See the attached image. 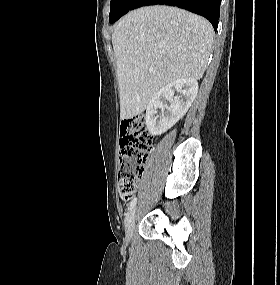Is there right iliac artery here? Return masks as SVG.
<instances>
[{"label":"right iliac artery","mask_w":280,"mask_h":285,"mask_svg":"<svg viewBox=\"0 0 280 285\" xmlns=\"http://www.w3.org/2000/svg\"><path fill=\"white\" fill-rule=\"evenodd\" d=\"M136 202H137V198L134 197L128 206V211H131L135 207Z\"/></svg>","instance_id":"1"}]
</instances>
